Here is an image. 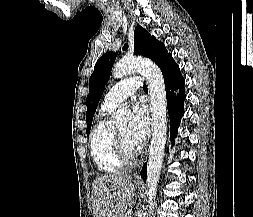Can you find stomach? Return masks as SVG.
Segmentation results:
<instances>
[{"mask_svg": "<svg viewBox=\"0 0 253 217\" xmlns=\"http://www.w3.org/2000/svg\"><path fill=\"white\" fill-rule=\"evenodd\" d=\"M134 186L137 188V187H139V184H134Z\"/></svg>", "mask_w": 253, "mask_h": 217, "instance_id": "obj_1", "label": "stomach"}]
</instances>
